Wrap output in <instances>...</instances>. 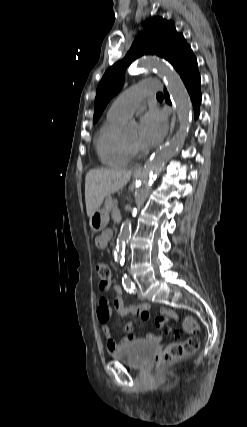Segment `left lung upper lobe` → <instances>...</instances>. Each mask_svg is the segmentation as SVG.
<instances>
[{
	"instance_id": "left-lung-upper-lobe-1",
	"label": "left lung upper lobe",
	"mask_w": 247,
	"mask_h": 427,
	"mask_svg": "<svg viewBox=\"0 0 247 427\" xmlns=\"http://www.w3.org/2000/svg\"><path fill=\"white\" fill-rule=\"evenodd\" d=\"M149 54L166 59L176 71L190 58L195 57L183 35L177 33L172 21L164 20L162 17L148 21L125 58L112 65L98 84L94 122L99 119L109 100L120 90L126 68L138 57Z\"/></svg>"
}]
</instances>
